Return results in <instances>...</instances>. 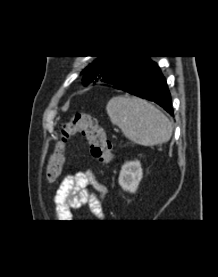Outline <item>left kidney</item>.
I'll use <instances>...</instances> for the list:
<instances>
[{
	"mask_svg": "<svg viewBox=\"0 0 218 277\" xmlns=\"http://www.w3.org/2000/svg\"><path fill=\"white\" fill-rule=\"evenodd\" d=\"M143 177L139 161L126 162L120 171L119 185L123 190L135 193Z\"/></svg>",
	"mask_w": 218,
	"mask_h": 277,
	"instance_id": "5707ae66",
	"label": "left kidney"
}]
</instances>
